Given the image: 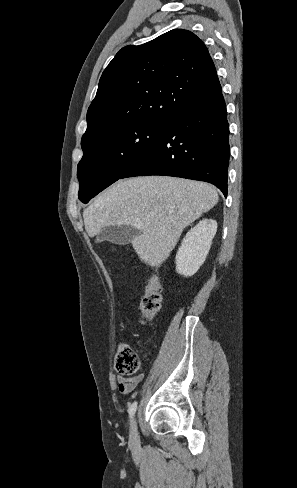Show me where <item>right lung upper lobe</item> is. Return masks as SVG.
<instances>
[{"label":"right lung upper lobe","instance_id":"right-lung-upper-lobe-1","mask_svg":"<svg viewBox=\"0 0 297 488\" xmlns=\"http://www.w3.org/2000/svg\"><path fill=\"white\" fill-rule=\"evenodd\" d=\"M220 90L208 49L190 31L174 29L143 45L126 46L102 73L82 149L130 124L170 121Z\"/></svg>","mask_w":297,"mask_h":488}]
</instances>
